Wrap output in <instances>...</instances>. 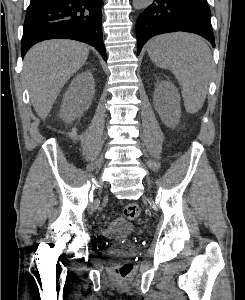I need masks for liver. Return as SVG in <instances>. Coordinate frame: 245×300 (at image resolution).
Wrapping results in <instances>:
<instances>
[{"label": "liver", "mask_w": 245, "mask_h": 300, "mask_svg": "<svg viewBox=\"0 0 245 300\" xmlns=\"http://www.w3.org/2000/svg\"><path fill=\"white\" fill-rule=\"evenodd\" d=\"M86 45L71 40L36 44L24 58L23 77L37 115L45 119L65 83L86 62Z\"/></svg>", "instance_id": "6515ba94"}]
</instances>
